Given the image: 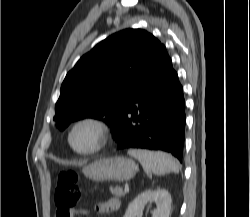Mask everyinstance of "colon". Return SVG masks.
Here are the masks:
<instances>
[{"mask_svg":"<svg viewBox=\"0 0 250 217\" xmlns=\"http://www.w3.org/2000/svg\"><path fill=\"white\" fill-rule=\"evenodd\" d=\"M80 199L78 176L73 171L62 172L58 175L54 191V204L57 217H69Z\"/></svg>","mask_w":250,"mask_h":217,"instance_id":"colon-1","label":"colon"}]
</instances>
